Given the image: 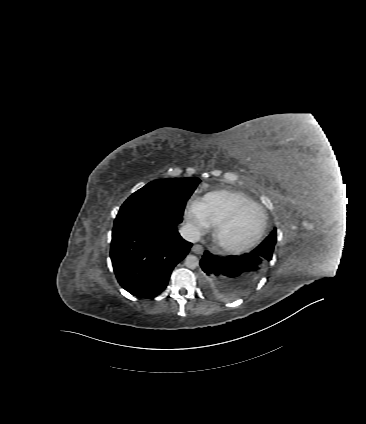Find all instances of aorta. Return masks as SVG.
Masks as SVG:
<instances>
[{
    "label": "aorta",
    "instance_id": "obj_1",
    "mask_svg": "<svg viewBox=\"0 0 366 424\" xmlns=\"http://www.w3.org/2000/svg\"><path fill=\"white\" fill-rule=\"evenodd\" d=\"M184 264L189 269H195L199 265V259L195 255H187Z\"/></svg>",
    "mask_w": 366,
    "mask_h": 424
}]
</instances>
